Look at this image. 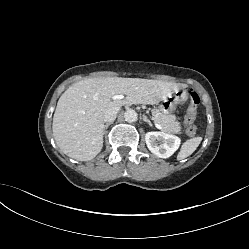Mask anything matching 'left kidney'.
<instances>
[{"mask_svg": "<svg viewBox=\"0 0 249 249\" xmlns=\"http://www.w3.org/2000/svg\"><path fill=\"white\" fill-rule=\"evenodd\" d=\"M145 141L148 149L160 158H169L177 151L181 140L165 132H147Z\"/></svg>", "mask_w": 249, "mask_h": 249, "instance_id": "left-kidney-1", "label": "left kidney"}]
</instances>
